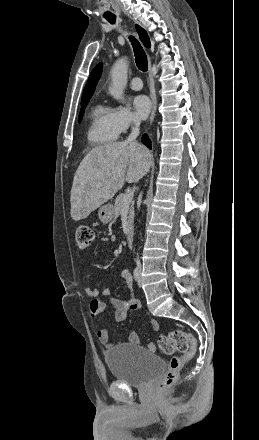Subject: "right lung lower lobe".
Instances as JSON below:
<instances>
[{
  "instance_id": "right-lung-lower-lobe-1",
  "label": "right lung lower lobe",
  "mask_w": 259,
  "mask_h": 440,
  "mask_svg": "<svg viewBox=\"0 0 259 440\" xmlns=\"http://www.w3.org/2000/svg\"><path fill=\"white\" fill-rule=\"evenodd\" d=\"M141 140H142L143 144H145L148 148L151 147L150 140L148 139V136L146 134L143 135Z\"/></svg>"
}]
</instances>
